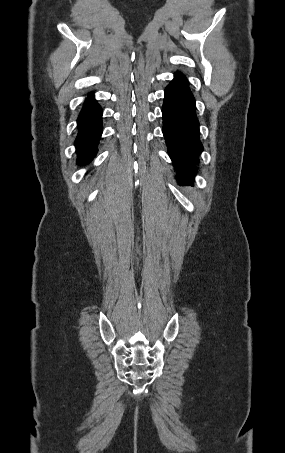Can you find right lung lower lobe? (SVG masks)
I'll return each mask as SVG.
<instances>
[{
	"instance_id": "obj_1",
	"label": "right lung lower lobe",
	"mask_w": 285,
	"mask_h": 453,
	"mask_svg": "<svg viewBox=\"0 0 285 453\" xmlns=\"http://www.w3.org/2000/svg\"><path fill=\"white\" fill-rule=\"evenodd\" d=\"M78 135L75 140L77 163L88 164L96 155L102 134V110L90 93L77 119Z\"/></svg>"
}]
</instances>
